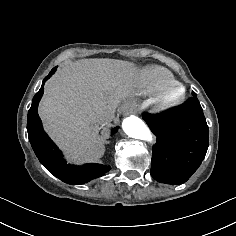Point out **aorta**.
Segmentation results:
<instances>
[{
  "instance_id": "obj_1",
  "label": "aorta",
  "mask_w": 236,
  "mask_h": 236,
  "mask_svg": "<svg viewBox=\"0 0 236 236\" xmlns=\"http://www.w3.org/2000/svg\"><path fill=\"white\" fill-rule=\"evenodd\" d=\"M123 131L132 138L153 141V135L147 125L138 117L130 116L122 122Z\"/></svg>"
}]
</instances>
